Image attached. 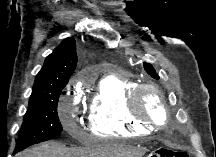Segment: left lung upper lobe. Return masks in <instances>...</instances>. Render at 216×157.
Masks as SVG:
<instances>
[{"instance_id":"1","label":"left lung upper lobe","mask_w":216,"mask_h":157,"mask_svg":"<svg viewBox=\"0 0 216 157\" xmlns=\"http://www.w3.org/2000/svg\"><path fill=\"white\" fill-rule=\"evenodd\" d=\"M145 71L153 78L155 79H159V76L156 74L154 68L152 67V65L148 64V63H144L143 65Z\"/></svg>"}]
</instances>
